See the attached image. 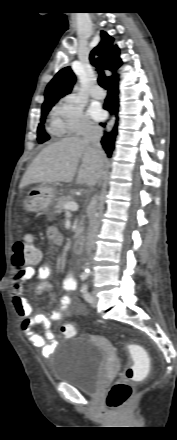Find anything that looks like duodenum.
I'll return each instance as SVG.
<instances>
[{"mask_svg":"<svg viewBox=\"0 0 177 440\" xmlns=\"http://www.w3.org/2000/svg\"><path fill=\"white\" fill-rule=\"evenodd\" d=\"M84 241L82 236H78L73 244V250L75 253L80 254L83 251Z\"/></svg>","mask_w":177,"mask_h":440,"instance_id":"1","label":"duodenum"}]
</instances>
